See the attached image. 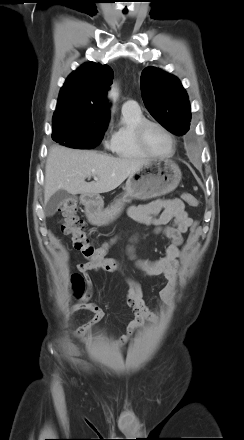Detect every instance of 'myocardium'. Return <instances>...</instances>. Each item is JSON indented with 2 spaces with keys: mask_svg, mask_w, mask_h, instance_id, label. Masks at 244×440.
<instances>
[{
  "mask_svg": "<svg viewBox=\"0 0 244 440\" xmlns=\"http://www.w3.org/2000/svg\"><path fill=\"white\" fill-rule=\"evenodd\" d=\"M148 126H156V127L160 128L169 137V139L171 141V145H172V149L169 153L155 154V153H152L147 148V146L145 144V140H144V133H145V130ZM133 136H134V140H135V143L137 144V146L148 156L166 157V156L173 155L176 151V140H175L174 135L170 132V130L168 128H166L163 124H161L157 121L150 120V119H144V120L140 121L134 127Z\"/></svg>",
  "mask_w": 244,
  "mask_h": 440,
  "instance_id": "obj_1",
  "label": "myocardium"
}]
</instances>
